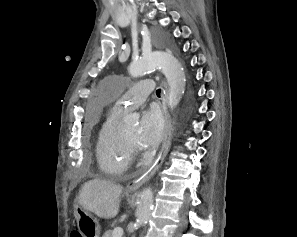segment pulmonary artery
I'll return each instance as SVG.
<instances>
[{"label": "pulmonary artery", "mask_w": 297, "mask_h": 237, "mask_svg": "<svg viewBox=\"0 0 297 237\" xmlns=\"http://www.w3.org/2000/svg\"><path fill=\"white\" fill-rule=\"evenodd\" d=\"M154 89L155 85L150 78L142 79L135 85L126 87L121 102L115 106V111L122 112L125 109L140 106Z\"/></svg>", "instance_id": "pulmonary-artery-1"}]
</instances>
